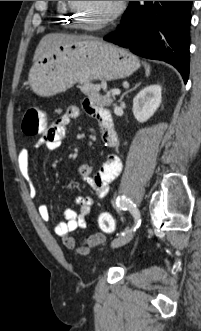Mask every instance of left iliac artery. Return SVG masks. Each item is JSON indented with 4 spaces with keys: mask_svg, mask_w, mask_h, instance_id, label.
Segmentation results:
<instances>
[{
    "mask_svg": "<svg viewBox=\"0 0 201 331\" xmlns=\"http://www.w3.org/2000/svg\"><path fill=\"white\" fill-rule=\"evenodd\" d=\"M117 207H119L122 210H129L130 213L133 215L134 219H135V224L134 227L131 230H136L140 224H141V219H140V212L137 209L136 205L129 201V199H125V197L123 196L122 198H118L117 199ZM126 232H121V235H124Z\"/></svg>",
    "mask_w": 201,
    "mask_h": 331,
    "instance_id": "44dca946",
    "label": "left iliac artery"
}]
</instances>
